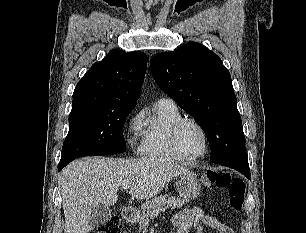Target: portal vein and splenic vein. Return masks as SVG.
Here are the masks:
<instances>
[{
    "instance_id": "obj_1",
    "label": "portal vein and splenic vein",
    "mask_w": 306,
    "mask_h": 233,
    "mask_svg": "<svg viewBox=\"0 0 306 233\" xmlns=\"http://www.w3.org/2000/svg\"><path fill=\"white\" fill-rule=\"evenodd\" d=\"M129 188H130V184H124V185H123V189L127 190V189H129Z\"/></svg>"
}]
</instances>
